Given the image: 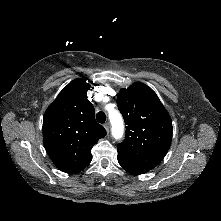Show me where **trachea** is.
<instances>
[{"label":"trachea","mask_w":221,"mask_h":221,"mask_svg":"<svg viewBox=\"0 0 221 221\" xmlns=\"http://www.w3.org/2000/svg\"><path fill=\"white\" fill-rule=\"evenodd\" d=\"M96 119L99 123L103 124L106 121V115L104 112H98L96 114Z\"/></svg>","instance_id":"trachea-1"}]
</instances>
